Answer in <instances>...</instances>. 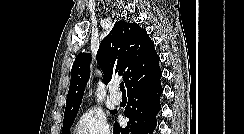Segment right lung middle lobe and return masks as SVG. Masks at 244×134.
Instances as JSON below:
<instances>
[{
    "label": "right lung middle lobe",
    "instance_id": "dd1d6c3e",
    "mask_svg": "<svg viewBox=\"0 0 244 134\" xmlns=\"http://www.w3.org/2000/svg\"><path fill=\"white\" fill-rule=\"evenodd\" d=\"M112 114H115L117 111L114 110V111H110ZM76 115L74 116H71V117H68V118H64V121H63V134H68L69 131H70V128L74 122V119H75Z\"/></svg>",
    "mask_w": 244,
    "mask_h": 134
}]
</instances>
